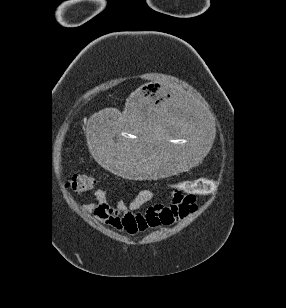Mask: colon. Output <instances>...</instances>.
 Segmentation results:
<instances>
[{
	"label": "colon",
	"mask_w": 286,
	"mask_h": 308,
	"mask_svg": "<svg viewBox=\"0 0 286 308\" xmlns=\"http://www.w3.org/2000/svg\"><path fill=\"white\" fill-rule=\"evenodd\" d=\"M95 182V178L90 174L74 173L69 175L67 179V186L77 193H83L92 189ZM180 184L183 185L185 190L195 192L197 194L210 193L217 186L215 180L208 178L185 180Z\"/></svg>",
	"instance_id": "colon-1"
}]
</instances>
